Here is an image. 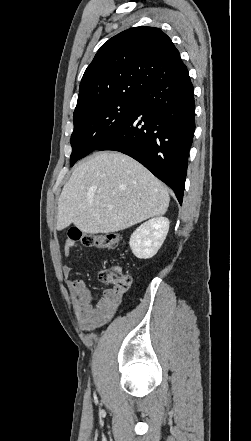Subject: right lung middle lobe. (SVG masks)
Returning a JSON list of instances; mask_svg holds the SVG:
<instances>
[{
  "label": "right lung middle lobe",
  "instance_id": "right-lung-middle-lobe-1",
  "mask_svg": "<svg viewBox=\"0 0 251 441\" xmlns=\"http://www.w3.org/2000/svg\"><path fill=\"white\" fill-rule=\"evenodd\" d=\"M141 95L109 97L92 102L73 116L70 166L104 143L119 129L140 102Z\"/></svg>",
  "mask_w": 251,
  "mask_h": 441
}]
</instances>
